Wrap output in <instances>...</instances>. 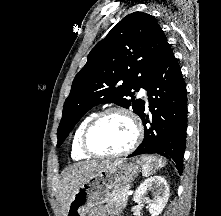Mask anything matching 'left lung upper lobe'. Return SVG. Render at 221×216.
Here are the masks:
<instances>
[{"label": "left lung upper lobe", "instance_id": "5c2ea615", "mask_svg": "<svg viewBox=\"0 0 221 216\" xmlns=\"http://www.w3.org/2000/svg\"><path fill=\"white\" fill-rule=\"evenodd\" d=\"M167 45V38L152 15L134 12L117 23L91 50L87 63L73 80L63 106L57 146L80 118L100 103L131 107L140 116L145 101L135 99L133 90L147 89L149 77Z\"/></svg>", "mask_w": 221, "mask_h": 216}]
</instances>
